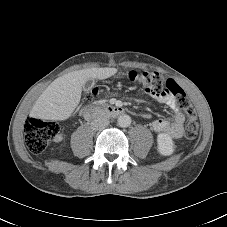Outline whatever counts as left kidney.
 Segmentation results:
<instances>
[{
  "mask_svg": "<svg viewBox=\"0 0 227 227\" xmlns=\"http://www.w3.org/2000/svg\"><path fill=\"white\" fill-rule=\"evenodd\" d=\"M158 150L162 155H171L174 152V143L172 138L165 133L157 136Z\"/></svg>",
  "mask_w": 227,
  "mask_h": 227,
  "instance_id": "1",
  "label": "left kidney"
}]
</instances>
